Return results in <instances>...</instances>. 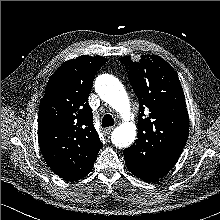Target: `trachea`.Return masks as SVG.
I'll return each mask as SVG.
<instances>
[{
  "label": "trachea",
  "instance_id": "trachea-1",
  "mask_svg": "<svg viewBox=\"0 0 220 220\" xmlns=\"http://www.w3.org/2000/svg\"><path fill=\"white\" fill-rule=\"evenodd\" d=\"M114 125V119L110 114H106L102 119V127H110Z\"/></svg>",
  "mask_w": 220,
  "mask_h": 220
}]
</instances>
